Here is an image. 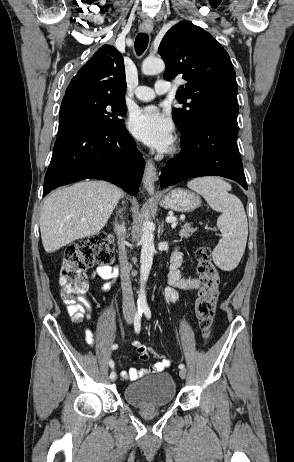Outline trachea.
<instances>
[{
	"label": "trachea",
	"mask_w": 294,
	"mask_h": 462,
	"mask_svg": "<svg viewBox=\"0 0 294 462\" xmlns=\"http://www.w3.org/2000/svg\"><path fill=\"white\" fill-rule=\"evenodd\" d=\"M149 36L145 33H139L135 39V50L138 55H141L148 46Z\"/></svg>",
	"instance_id": "trachea-1"
}]
</instances>
